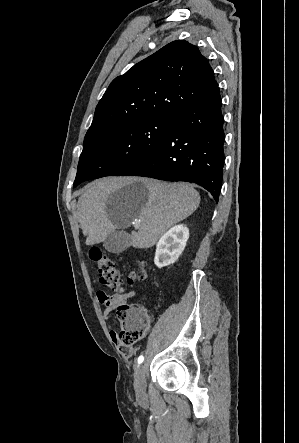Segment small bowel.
<instances>
[{
  "instance_id": "obj_1",
  "label": "small bowel",
  "mask_w": 299,
  "mask_h": 443,
  "mask_svg": "<svg viewBox=\"0 0 299 443\" xmlns=\"http://www.w3.org/2000/svg\"><path fill=\"white\" fill-rule=\"evenodd\" d=\"M135 295H136L135 291L116 293L113 295H109L103 290H98L96 292L97 301L105 306L104 310L105 319H109L111 317L112 313L114 312V310L117 308L118 305L126 303L128 299L134 297ZM109 335L112 341L117 343L118 338H117V331L115 328L110 327Z\"/></svg>"
}]
</instances>
